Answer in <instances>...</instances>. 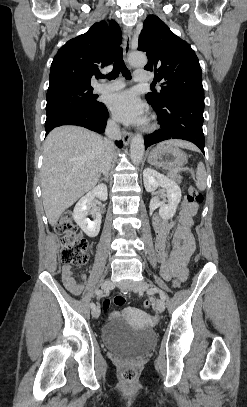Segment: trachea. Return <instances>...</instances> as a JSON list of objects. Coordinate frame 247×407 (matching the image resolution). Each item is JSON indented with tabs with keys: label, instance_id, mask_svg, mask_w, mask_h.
<instances>
[{
	"label": "trachea",
	"instance_id": "1",
	"mask_svg": "<svg viewBox=\"0 0 247 407\" xmlns=\"http://www.w3.org/2000/svg\"><path fill=\"white\" fill-rule=\"evenodd\" d=\"M120 72L126 79H131V73L122 59V48L117 51V59L114 63L113 70L108 75H99L100 78L116 79Z\"/></svg>",
	"mask_w": 247,
	"mask_h": 407
}]
</instances>
